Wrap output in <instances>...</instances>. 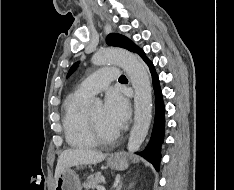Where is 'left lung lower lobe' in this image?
Here are the masks:
<instances>
[{"label":"left lung lower lobe","mask_w":234,"mask_h":190,"mask_svg":"<svg viewBox=\"0 0 234 190\" xmlns=\"http://www.w3.org/2000/svg\"><path fill=\"white\" fill-rule=\"evenodd\" d=\"M136 53H138L146 62V64L149 66L150 72L152 74L153 87L155 91V120H154L152 136L148 143L147 148L143 152H141L140 155H142L147 161L152 163L153 166L158 171L159 163L161 160L160 150L164 139L165 108L162 99L161 89L159 86L158 76L155 72L152 62L145 57L144 52L140 48L136 50Z\"/></svg>","instance_id":"1"}]
</instances>
